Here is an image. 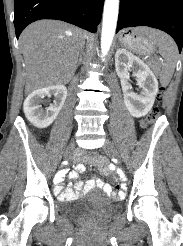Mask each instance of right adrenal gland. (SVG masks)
I'll return each instance as SVG.
<instances>
[{
	"label": "right adrenal gland",
	"mask_w": 183,
	"mask_h": 246,
	"mask_svg": "<svg viewBox=\"0 0 183 246\" xmlns=\"http://www.w3.org/2000/svg\"><path fill=\"white\" fill-rule=\"evenodd\" d=\"M81 61H82V51L80 52L79 58L77 59L76 67L80 65Z\"/></svg>",
	"instance_id": "right-adrenal-gland-1"
}]
</instances>
